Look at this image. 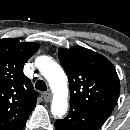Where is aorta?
Returning a JSON list of instances; mask_svg holds the SVG:
<instances>
[{"label":"aorta","mask_w":130,"mask_h":130,"mask_svg":"<svg viewBox=\"0 0 130 130\" xmlns=\"http://www.w3.org/2000/svg\"><path fill=\"white\" fill-rule=\"evenodd\" d=\"M36 67L48 81L53 92L51 113L54 117L62 118L68 110V79L62 68L50 57L39 56L35 61Z\"/></svg>","instance_id":"obj_1"}]
</instances>
